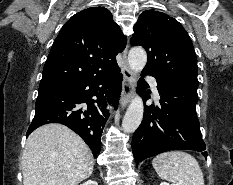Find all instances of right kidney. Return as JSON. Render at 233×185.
<instances>
[{"label": "right kidney", "instance_id": "obj_1", "mask_svg": "<svg viewBox=\"0 0 233 185\" xmlns=\"http://www.w3.org/2000/svg\"><path fill=\"white\" fill-rule=\"evenodd\" d=\"M81 185H98L96 181L93 180H88L85 183L81 184Z\"/></svg>", "mask_w": 233, "mask_h": 185}]
</instances>
